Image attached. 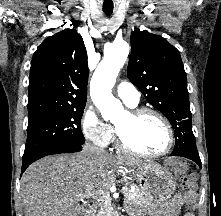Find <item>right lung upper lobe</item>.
Listing matches in <instances>:
<instances>
[{"label":"right lung upper lobe","instance_id":"1","mask_svg":"<svg viewBox=\"0 0 221 216\" xmlns=\"http://www.w3.org/2000/svg\"><path fill=\"white\" fill-rule=\"evenodd\" d=\"M87 51L75 29L48 37L34 53L29 78V118L86 104Z\"/></svg>","mask_w":221,"mask_h":216}]
</instances>
